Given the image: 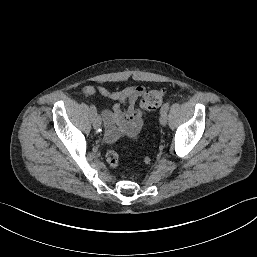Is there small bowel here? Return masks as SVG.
I'll return each instance as SVG.
<instances>
[{"label":"small bowel","mask_w":257,"mask_h":257,"mask_svg":"<svg viewBox=\"0 0 257 257\" xmlns=\"http://www.w3.org/2000/svg\"><path fill=\"white\" fill-rule=\"evenodd\" d=\"M147 92L141 85L128 86L119 91H110L99 85H87L81 89L83 95H101L116 101L112 108L102 110L104 138L112 143L122 136L137 139L144 128L142 111L136 101Z\"/></svg>","instance_id":"1"}]
</instances>
